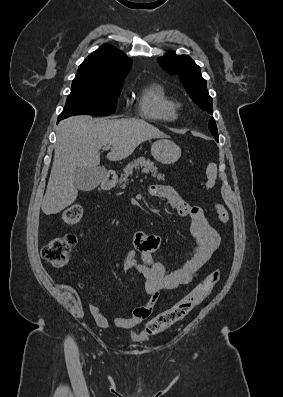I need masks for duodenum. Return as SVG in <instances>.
<instances>
[{
    "label": "duodenum",
    "instance_id": "1",
    "mask_svg": "<svg viewBox=\"0 0 283 397\" xmlns=\"http://www.w3.org/2000/svg\"><path fill=\"white\" fill-rule=\"evenodd\" d=\"M115 178L113 176H107L102 182V188L104 190L111 189L114 186Z\"/></svg>",
    "mask_w": 283,
    "mask_h": 397
}]
</instances>
